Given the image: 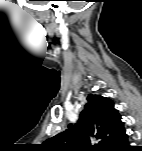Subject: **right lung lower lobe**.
<instances>
[{
	"label": "right lung lower lobe",
	"mask_w": 142,
	"mask_h": 151,
	"mask_svg": "<svg viewBox=\"0 0 142 151\" xmlns=\"http://www.w3.org/2000/svg\"><path fill=\"white\" fill-rule=\"evenodd\" d=\"M130 146L128 145V140L123 143L122 145H120L119 147H117L114 151H127L130 150Z\"/></svg>",
	"instance_id": "1"
}]
</instances>
